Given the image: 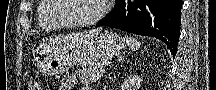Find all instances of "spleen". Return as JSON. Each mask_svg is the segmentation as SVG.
Masks as SVG:
<instances>
[{
    "label": "spleen",
    "mask_w": 216,
    "mask_h": 90,
    "mask_svg": "<svg viewBox=\"0 0 216 90\" xmlns=\"http://www.w3.org/2000/svg\"><path fill=\"white\" fill-rule=\"evenodd\" d=\"M123 40L126 42L127 46H129L130 50H138V48H140V42H137L134 38H130V36H125Z\"/></svg>",
    "instance_id": "1"
}]
</instances>
